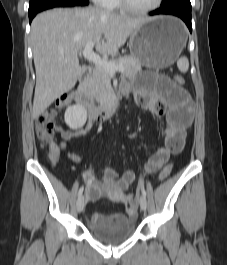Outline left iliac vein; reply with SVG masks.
Masks as SVG:
<instances>
[{"instance_id":"obj_1","label":"left iliac vein","mask_w":227,"mask_h":265,"mask_svg":"<svg viewBox=\"0 0 227 265\" xmlns=\"http://www.w3.org/2000/svg\"><path fill=\"white\" fill-rule=\"evenodd\" d=\"M139 204H140V208L145 211L146 208H147V201H146V198L144 196H141L140 197V200H139Z\"/></svg>"}]
</instances>
